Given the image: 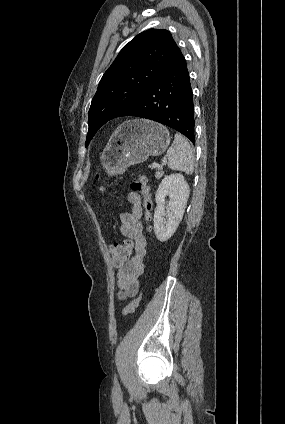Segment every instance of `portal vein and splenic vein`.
<instances>
[{"instance_id":"obj_1","label":"portal vein and splenic vein","mask_w":285,"mask_h":424,"mask_svg":"<svg viewBox=\"0 0 285 424\" xmlns=\"http://www.w3.org/2000/svg\"><path fill=\"white\" fill-rule=\"evenodd\" d=\"M152 167H154V168H159V167H160V165H159L158 163H152Z\"/></svg>"}]
</instances>
